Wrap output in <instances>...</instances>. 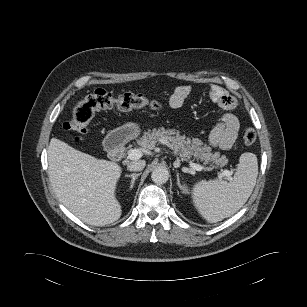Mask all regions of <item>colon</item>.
Returning <instances> with one entry per match:
<instances>
[{
    "label": "colon",
    "mask_w": 307,
    "mask_h": 307,
    "mask_svg": "<svg viewBox=\"0 0 307 307\" xmlns=\"http://www.w3.org/2000/svg\"><path fill=\"white\" fill-rule=\"evenodd\" d=\"M160 107L161 104L157 100L143 94L125 92L114 95L106 90L97 89L74 106L70 119L63 124V127L73 132L76 140H81L82 135L87 132L89 123L101 110L112 108L126 111L141 108L157 110ZM242 138L245 144L251 145L256 141L257 133L254 129L248 128L243 132Z\"/></svg>",
    "instance_id": "1"
}]
</instances>
